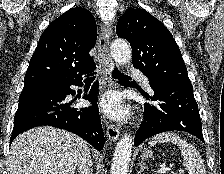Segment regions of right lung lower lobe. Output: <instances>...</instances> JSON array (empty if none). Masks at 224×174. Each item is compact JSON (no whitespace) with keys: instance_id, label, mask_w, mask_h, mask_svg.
Instances as JSON below:
<instances>
[{"instance_id":"98d812e1","label":"right lung lower lobe","mask_w":224,"mask_h":174,"mask_svg":"<svg viewBox=\"0 0 224 174\" xmlns=\"http://www.w3.org/2000/svg\"><path fill=\"white\" fill-rule=\"evenodd\" d=\"M71 85L82 86V75L24 86L14 116L10 144L28 129L54 126L75 133L97 150H102L104 134L97 106L98 82L94 83L89 94L83 96L92 105L81 109L71 107L72 101L66 100L67 95L75 93Z\"/></svg>"}]
</instances>
